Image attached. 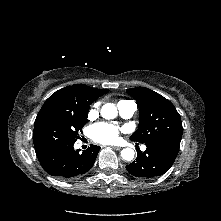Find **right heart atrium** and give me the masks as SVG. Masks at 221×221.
<instances>
[{
	"label": "right heart atrium",
	"mask_w": 221,
	"mask_h": 221,
	"mask_svg": "<svg viewBox=\"0 0 221 221\" xmlns=\"http://www.w3.org/2000/svg\"><path fill=\"white\" fill-rule=\"evenodd\" d=\"M97 107H98V104H95V105L93 106V108L90 110L89 114H90V115H91V114H94V113L96 112V110H97Z\"/></svg>",
	"instance_id": "right-heart-atrium-1"
}]
</instances>
